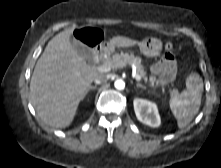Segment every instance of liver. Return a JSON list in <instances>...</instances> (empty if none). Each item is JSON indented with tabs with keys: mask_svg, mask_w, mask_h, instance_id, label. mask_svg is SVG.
I'll list each match as a JSON object with an SVG mask.
<instances>
[{
	"mask_svg": "<svg viewBox=\"0 0 221 168\" xmlns=\"http://www.w3.org/2000/svg\"><path fill=\"white\" fill-rule=\"evenodd\" d=\"M67 29L53 37L38 59L30 81L31 103L40 119L54 128L69 126L91 83L100 74L88 67L73 48ZM139 42L123 36L113 37L112 49L132 47Z\"/></svg>",
	"mask_w": 221,
	"mask_h": 168,
	"instance_id": "obj_1",
	"label": "liver"
}]
</instances>
